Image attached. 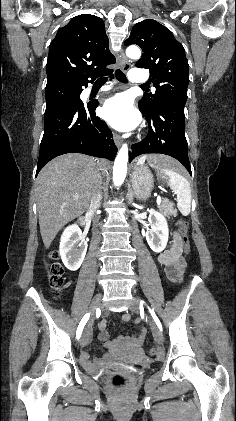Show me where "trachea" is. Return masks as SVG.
<instances>
[{
    "label": "trachea",
    "mask_w": 236,
    "mask_h": 421,
    "mask_svg": "<svg viewBox=\"0 0 236 421\" xmlns=\"http://www.w3.org/2000/svg\"><path fill=\"white\" fill-rule=\"evenodd\" d=\"M115 76H116V78H117V80L119 81V82H122V83H128V80H127V78H126V75L121 71V70H116L115 71ZM107 81V77L106 76H101V77H99L97 80H96V82L95 83H105ZM141 87H142V89H144V90H148L149 89V87L148 86H146V85H141Z\"/></svg>",
    "instance_id": "3493384b"
}]
</instances>
